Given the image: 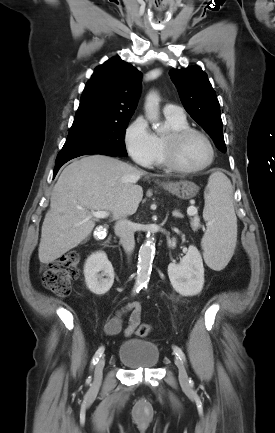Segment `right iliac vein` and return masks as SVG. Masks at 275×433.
Instances as JSON below:
<instances>
[{
    "mask_svg": "<svg viewBox=\"0 0 275 433\" xmlns=\"http://www.w3.org/2000/svg\"><path fill=\"white\" fill-rule=\"evenodd\" d=\"M104 365H105V360L104 358H101L95 366L94 380H93L94 386H99L101 384Z\"/></svg>",
    "mask_w": 275,
    "mask_h": 433,
    "instance_id": "63e3f726",
    "label": "right iliac vein"
}]
</instances>
